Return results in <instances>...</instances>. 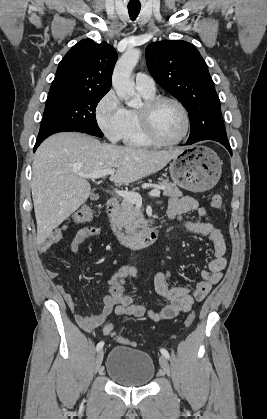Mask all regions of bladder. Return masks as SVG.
Instances as JSON below:
<instances>
[{
	"mask_svg": "<svg viewBox=\"0 0 267 419\" xmlns=\"http://www.w3.org/2000/svg\"><path fill=\"white\" fill-rule=\"evenodd\" d=\"M105 372L120 386L142 387L153 380L155 364L148 353L119 345L109 352Z\"/></svg>",
	"mask_w": 267,
	"mask_h": 419,
	"instance_id": "obj_1",
	"label": "bladder"
}]
</instances>
